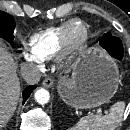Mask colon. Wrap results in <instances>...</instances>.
I'll use <instances>...</instances> for the list:
<instances>
[{"mask_svg": "<svg viewBox=\"0 0 130 130\" xmlns=\"http://www.w3.org/2000/svg\"><path fill=\"white\" fill-rule=\"evenodd\" d=\"M101 45L113 57L122 58L124 47L119 38L113 36L112 34L106 33L101 38Z\"/></svg>", "mask_w": 130, "mask_h": 130, "instance_id": "5ec220e1", "label": "colon"}]
</instances>
